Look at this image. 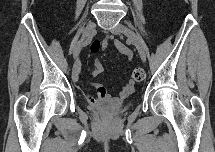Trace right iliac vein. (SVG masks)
<instances>
[{
    "label": "right iliac vein",
    "instance_id": "right-iliac-vein-1",
    "mask_svg": "<svg viewBox=\"0 0 215 152\" xmlns=\"http://www.w3.org/2000/svg\"><path fill=\"white\" fill-rule=\"evenodd\" d=\"M95 28H96V25L94 22H89L87 24V26L85 27V29L82 33L81 40L77 43V45L75 46L74 51H73V57L75 60H77L79 58V54L82 49V43L84 42V40L87 37L91 36L95 32Z\"/></svg>",
    "mask_w": 215,
    "mask_h": 152
}]
</instances>
